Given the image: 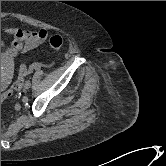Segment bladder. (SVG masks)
Wrapping results in <instances>:
<instances>
[{"label": "bladder", "mask_w": 166, "mask_h": 166, "mask_svg": "<svg viewBox=\"0 0 166 166\" xmlns=\"http://www.w3.org/2000/svg\"><path fill=\"white\" fill-rule=\"evenodd\" d=\"M3 85H4V84H3L2 80H1V88L3 87Z\"/></svg>", "instance_id": "obj_1"}]
</instances>
